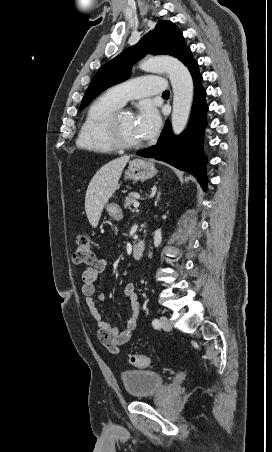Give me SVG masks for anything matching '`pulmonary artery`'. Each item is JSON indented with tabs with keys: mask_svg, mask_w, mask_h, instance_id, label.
<instances>
[{
	"mask_svg": "<svg viewBox=\"0 0 272 452\" xmlns=\"http://www.w3.org/2000/svg\"><path fill=\"white\" fill-rule=\"evenodd\" d=\"M166 89V83L160 77H139L110 88L109 93L120 104L124 105L130 99H139L154 94H160Z\"/></svg>",
	"mask_w": 272,
	"mask_h": 452,
	"instance_id": "obj_1",
	"label": "pulmonary artery"
}]
</instances>
